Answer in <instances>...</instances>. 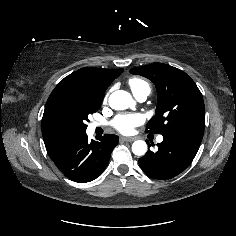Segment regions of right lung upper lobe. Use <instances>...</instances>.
<instances>
[{"instance_id": "cb5924a9", "label": "right lung upper lobe", "mask_w": 236, "mask_h": 236, "mask_svg": "<svg viewBox=\"0 0 236 236\" xmlns=\"http://www.w3.org/2000/svg\"><path fill=\"white\" fill-rule=\"evenodd\" d=\"M123 69H104L86 67L65 77L58 85L67 86L75 92L103 99L107 87ZM42 135L47 152L53 150L73 136L57 133L50 129L42 118Z\"/></svg>"}]
</instances>
